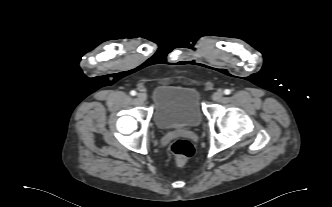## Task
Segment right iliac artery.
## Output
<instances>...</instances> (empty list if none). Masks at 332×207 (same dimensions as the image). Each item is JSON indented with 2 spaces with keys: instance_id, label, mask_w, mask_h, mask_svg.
<instances>
[{
  "instance_id": "right-iliac-artery-1",
  "label": "right iliac artery",
  "mask_w": 332,
  "mask_h": 207,
  "mask_svg": "<svg viewBox=\"0 0 332 207\" xmlns=\"http://www.w3.org/2000/svg\"><path fill=\"white\" fill-rule=\"evenodd\" d=\"M130 94H131L132 96H135V95H136V91L132 90V91L130 92Z\"/></svg>"
}]
</instances>
